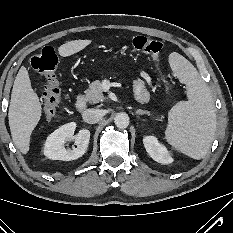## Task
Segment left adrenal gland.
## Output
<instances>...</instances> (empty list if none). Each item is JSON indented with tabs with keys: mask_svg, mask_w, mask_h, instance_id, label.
Wrapping results in <instances>:
<instances>
[{
	"mask_svg": "<svg viewBox=\"0 0 233 233\" xmlns=\"http://www.w3.org/2000/svg\"><path fill=\"white\" fill-rule=\"evenodd\" d=\"M136 114L137 115H148V116H150V113L148 111H144V110H141V109H138L136 111Z\"/></svg>",
	"mask_w": 233,
	"mask_h": 233,
	"instance_id": "1",
	"label": "left adrenal gland"
}]
</instances>
